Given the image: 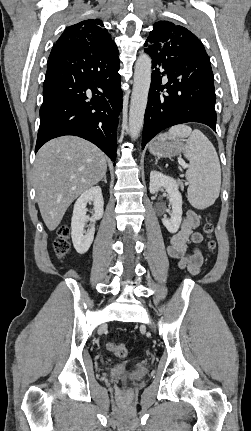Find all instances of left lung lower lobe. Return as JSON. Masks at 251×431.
Instances as JSON below:
<instances>
[{
  "instance_id": "left-lung-lower-lobe-1",
  "label": "left lung lower lobe",
  "mask_w": 251,
  "mask_h": 431,
  "mask_svg": "<svg viewBox=\"0 0 251 431\" xmlns=\"http://www.w3.org/2000/svg\"><path fill=\"white\" fill-rule=\"evenodd\" d=\"M144 51L152 59V82L145 111L142 148L160 131L199 122L216 130L214 79L209 57L189 47L168 46L151 37ZM168 82L162 84V77ZM166 93H161L163 89Z\"/></svg>"
}]
</instances>
